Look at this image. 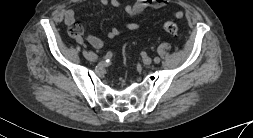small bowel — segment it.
Masks as SVG:
<instances>
[{
    "mask_svg": "<svg viewBox=\"0 0 253 138\" xmlns=\"http://www.w3.org/2000/svg\"><path fill=\"white\" fill-rule=\"evenodd\" d=\"M100 2L103 5H112L114 7H120L122 6L121 0H100ZM169 4L168 0H135L132 4H126L124 7L125 13L127 17L129 18V21L126 23V29L128 31H136L140 28V25L132 19L146 11L147 9H160L167 7ZM174 17L181 19L184 16V13L180 9H175L173 11ZM76 19V11L74 9H68L65 11L64 14V20L67 25H72L75 23ZM123 31L119 28L113 27L107 32V38L108 39H114L120 34H122ZM78 42H82V38H77ZM88 43L96 49H100L104 46V40L94 34H89L87 36Z\"/></svg>",
    "mask_w": 253,
    "mask_h": 138,
    "instance_id": "c3829d8e",
    "label": "small bowel"
}]
</instances>
